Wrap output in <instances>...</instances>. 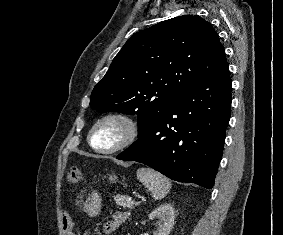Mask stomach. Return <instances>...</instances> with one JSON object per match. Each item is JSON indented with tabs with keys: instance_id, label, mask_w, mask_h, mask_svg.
<instances>
[{
	"instance_id": "obj_1",
	"label": "stomach",
	"mask_w": 283,
	"mask_h": 235,
	"mask_svg": "<svg viewBox=\"0 0 283 235\" xmlns=\"http://www.w3.org/2000/svg\"><path fill=\"white\" fill-rule=\"evenodd\" d=\"M109 180L111 183H115L117 177L115 175L109 176ZM102 208V198L101 195L93 191L91 194L88 195L84 202V211L88 213L90 216H96L99 214Z\"/></svg>"
}]
</instances>
